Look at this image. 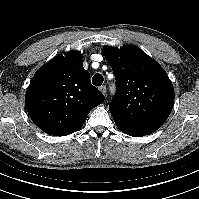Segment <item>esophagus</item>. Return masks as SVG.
<instances>
[{"label":"esophagus","instance_id":"esophagus-1","mask_svg":"<svg viewBox=\"0 0 199 199\" xmlns=\"http://www.w3.org/2000/svg\"><path fill=\"white\" fill-rule=\"evenodd\" d=\"M99 90L104 94L106 95V86L102 85L99 87Z\"/></svg>","mask_w":199,"mask_h":199}]
</instances>
